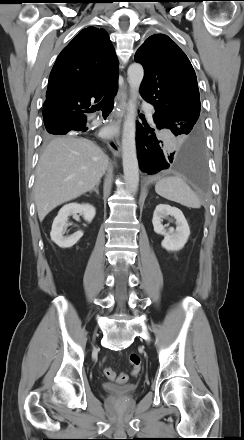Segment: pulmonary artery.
<instances>
[{"mask_svg": "<svg viewBox=\"0 0 244 440\" xmlns=\"http://www.w3.org/2000/svg\"><path fill=\"white\" fill-rule=\"evenodd\" d=\"M143 107H144V109H145V111L147 113V116H148L149 120L151 121L152 120V114H153V106L150 105V104L145 103V104H143Z\"/></svg>", "mask_w": 244, "mask_h": 440, "instance_id": "e3ab8cb5", "label": "pulmonary artery"}]
</instances>
